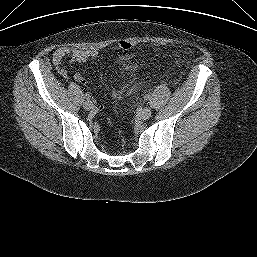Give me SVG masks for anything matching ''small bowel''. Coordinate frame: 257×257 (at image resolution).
Here are the masks:
<instances>
[{
	"mask_svg": "<svg viewBox=\"0 0 257 257\" xmlns=\"http://www.w3.org/2000/svg\"><path fill=\"white\" fill-rule=\"evenodd\" d=\"M98 56V52L95 49H71L68 47H60L54 50L52 54V61L57 71L60 74H65V71L61 68V64L65 58H68L71 63L73 62H86L93 60ZM121 69L126 72L131 78H134L138 70V65L131 60L129 55L120 56L117 60ZM74 81L80 85L86 84V79L79 73L74 76Z\"/></svg>",
	"mask_w": 257,
	"mask_h": 257,
	"instance_id": "c3829d8e",
	"label": "small bowel"
}]
</instances>
